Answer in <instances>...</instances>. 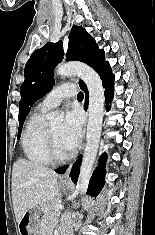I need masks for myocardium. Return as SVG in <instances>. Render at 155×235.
Segmentation results:
<instances>
[{
    "label": "myocardium",
    "mask_w": 155,
    "mask_h": 235,
    "mask_svg": "<svg viewBox=\"0 0 155 235\" xmlns=\"http://www.w3.org/2000/svg\"><path fill=\"white\" fill-rule=\"evenodd\" d=\"M46 148L50 160L54 162L67 161L71 156L70 153L61 154L57 151L54 138L49 128L46 130Z\"/></svg>",
    "instance_id": "myocardium-1"
}]
</instances>
